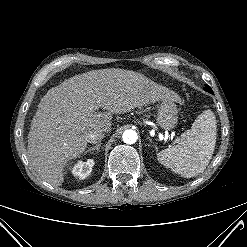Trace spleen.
<instances>
[{
	"label": "spleen",
	"instance_id": "1",
	"mask_svg": "<svg viewBox=\"0 0 247 247\" xmlns=\"http://www.w3.org/2000/svg\"><path fill=\"white\" fill-rule=\"evenodd\" d=\"M214 113L205 110L182 133L179 144L157 154L158 161L184 178L202 173L209 164L216 144L217 125Z\"/></svg>",
	"mask_w": 247,
	"mask_h": 247
}]
</instances>
